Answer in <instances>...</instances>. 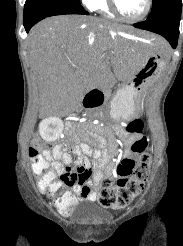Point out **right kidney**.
Masks as SVG:
<instances>
[{
	"label": "right kidney",
	"mask_w": 183,
	"mask_h": 246,
	"mask_svg": "<svg viewBox=\"0 0 183 246\" xmlns=\"http://www.w3.org/2000/svg\"><path fill=\"white\" fill-rule=\"evenodd\" d=\"M63 130L62 120L56 117L44 119L39 125L41 137L48 142L55 141Z\"/></svg>",
	"instance_id": "obj_1"
}]
</instances>
